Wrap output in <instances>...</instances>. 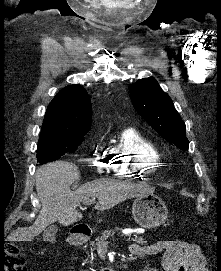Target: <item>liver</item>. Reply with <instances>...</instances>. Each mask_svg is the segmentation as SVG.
Segmentation results:
<instances>
[{
    "label": "liver",
    "mask_w": 221,
    "mask_h": 271,
    "mask_svg": "<svg viewBox=\"0 0 221 271\" xmlns=\"http://www.w3.org/2000/svg\"><path fill=\"white\" fill-rule=\"evenodd\" d=\"M80 173L75 163L70 161H52L38 167L35 175L36 191L41 201V209L37 219L30 227L17 229L13 233L16 241H32L51 223L59 221L62 225H71L80 221L83 215L77 205L80 201H88L89 197H98L95 209H111L126 197H139L147 193L145 189L136 187V183L120 181V179H93L71 191V185L79 179Z\"/></svg>",
    "instance_id": "1"
}]
</instances>
